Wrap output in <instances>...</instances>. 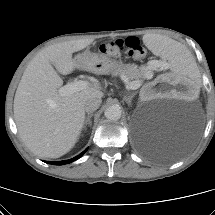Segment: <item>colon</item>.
I'll use <instances>...</instances> for the list:
<instances>
[{"instance_id": "colon-1", "label": "colon", "mask_w": 215, "mask_h": 215, "mask_svg": "<svg viewBox=\"0 0 215 215\" xmlns=\"http://www.w3.org/2000/svg\"><path fill=\"white\" fill-rule=\"evenodd\" d=\"M100 51L105 54L117 56L125 51L133 58H143L146 54L145 48L141 45L137 37H128L126 39H118L112 42L102 44Z\"/></svg>"}]
</instances>
